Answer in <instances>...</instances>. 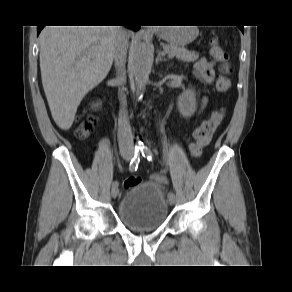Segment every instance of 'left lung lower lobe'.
Returning <instances> with one entry per match:
<instances>
[{"mask_svg":"<svg viewBox=\"0 0 292 292\" xmlns=\"http://www.w3.org/2000/svg\"><path fill=\"white\" fill-rule=\"evenodd\" d=\"M239 28H240V30H241L242 32H244V28H243V26H239Z\"/></svg>","mask_w":292,"mask_h":292,"instance_id":"obj_1","label":"left lung lower lobe"}]
</instances>
